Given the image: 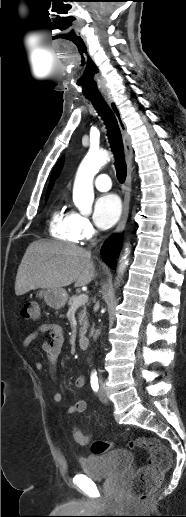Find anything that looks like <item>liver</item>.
Returning <instances> with one entry per match:
<instances>
[{
    "label": "liver",
    "instance_id": "liver-1",
    "mask_svg": "<svg viewBox=\"0 0 186 517\" xmlns=\"http://www.w3.org/2000/svg\"><path fill=\"white\" fill-rule=\"evenodd\" d=\"M96 275L89 250L75 244L39 240L28 246L22 258L15 294L21 296L37 288L58 289L72 283L82 287Z\"/></svg>",
    "mask_w": 186,
    "mask_h": 517
}]
</instances>
